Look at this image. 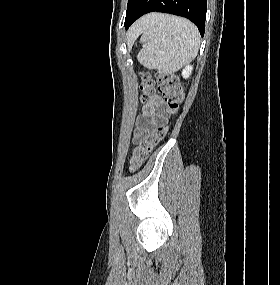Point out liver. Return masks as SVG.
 <instances>
[{
  "label": "liver",
  "mask_w": 280,
  "mask_h": 285,
  "mask_svg": "<svg viewBox=\"0 0 280 285\" xmlns=\"http://www.w3.org/2000/svg\"><path fill=\"white\" fill-rule=\"evenodd\" d=\"M151 15H148L146 17H144L143 19H141L140 21H138L136 23V25L133 27L132 31H131V34L132 33H138L141 26L145 23V21L150 17Z\"/></svg>",
  "instance_id": "liver-1"
}]
</instances>
